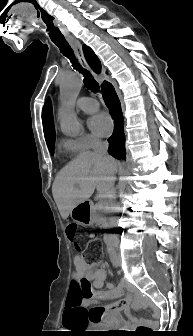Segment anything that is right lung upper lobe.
Segmentation results:
<instances>
[{
  "instance_id": "1",
  "label": "right lung upper lobe",
  "mask_w": 193,
  "mask_h": 336,
  "mask_svg": "<svg viewBox=\"0 0 193 336\" xmlns=\"http://www.w3.org/2000/svg\"><path fill=\"white\" fill-rule=\"evenodd\" d=\"M83 50L86 56L88 63L91 65L93 70L97 73L101 71V64L97 56L88 46L84 45ZM42 122H43V131L45 135L46 142L54 139L55 129L52 118V108L49 100L46 101L43 111H42Z\"/></svg>"
}]
</instances>
